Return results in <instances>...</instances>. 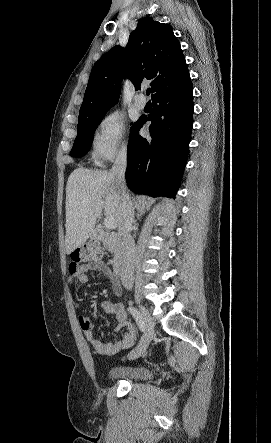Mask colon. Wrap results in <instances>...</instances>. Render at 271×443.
I'll return each instance as SVG.
<instances>
[{"label": "colon", "mask_w": 271, "mask_h": 443, "mask_svg": "<svg viewBox=\"0 0 271 443\" xmlns=\"http://www.w3.org/2000/svg\"><path fill=\"white\" fill-rule=\"evenodd\" d=\"M102 255V249L97 243L87 242L71 253L72 264L92 262Z\"/></svg>", "instance_id": "5ec220e1"}]
</instances>
